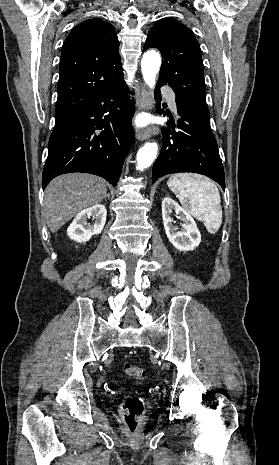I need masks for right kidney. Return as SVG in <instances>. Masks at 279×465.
Wrapping results in <instances>:
<instances>
[{"label": "right kidney", "instance_id": "1", "mask_svg": "<svg viewBox=\"0 0 279 465\" xmlns=\"http://www.w3.org/2000/svg\"><path fill=\"white\" fill-rule=\"evenodd\" d=\"M107 211L104 205L97 204L79 212L67 229L70 239L84 243L90 240L93 235H98L104 228ZM93 217L95 223L90 224L87 219Z\"/></svg>", "mask_w": 279, "mask_h": 465}]
</instances>
